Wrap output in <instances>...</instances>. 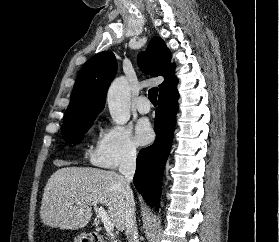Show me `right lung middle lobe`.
I'll use <instances>...</instances> for the list:
<instances>
[{"label":"right lung middle lobe","instance_id":"dd1d6c3e","mask_svg":"<svg viewBox=\"0 0 279 242\" xmlns=\"http://www.w3.org/2000/svg\"><path fill=\"white\" fill-rule=\"evenodd\" d=\"M95 117H90L80 123L62 125L61 132L65 136L67 142L76 144L79 142L84 133L90 128Z\"/></svg>","mask_w":279,"mask_h":242}]
</instances>
